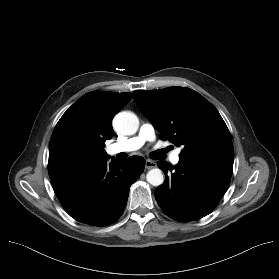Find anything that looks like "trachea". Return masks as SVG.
Listing matches in <instances>:
<instances>
[{"label": "trachea", "instance_id": "3493384b", "mask_svg": "<svg viewBox=\"0 0 279 279\" xmlns=\"http://www.w3.org/2000/svg\"><path fill=\"white\" fill-rule=\"evenodd\" d=\"M164 153H166L167 151H168V149H164V150H162Z\"/></svg>", "mask_w": 279, "mask_h": 279}]
</instances>
